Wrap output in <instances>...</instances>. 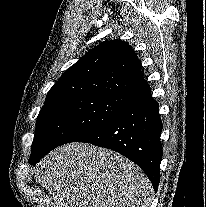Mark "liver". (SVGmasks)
<instances>
[{
	"mask_svg": "<svg viewBox=\"0 0 206 207\" xmlns=\"http://www.w3.org/2000/svg\"><path fill=\"white\" fill-rule=\"evenodd\" d=\"M34 178L51 207H149L153 188L143 171L122 155L73 142L49 152Z\"/></svg>",
	"mask_w": 206,
	"mask_h": 207,
	"instance_id": "1",
	"label": "liver"
}]
</instances>
